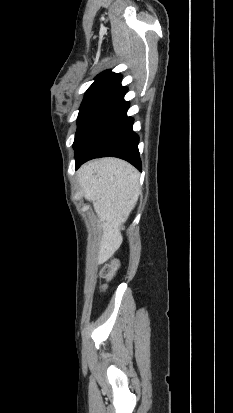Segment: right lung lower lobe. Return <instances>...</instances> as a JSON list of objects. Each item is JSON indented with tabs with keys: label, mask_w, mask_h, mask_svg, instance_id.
Listing matches in <instances>:
<instances>
[{
	"label": "right lung lower lobe",
	"mask_w": 233,
	"mask_h": 413,
	"mask_svg": "<svg viewBox=\"0 0 233 413\" xmlns=\"http://www.w3.org/2000/svg\"><path fill=\"white\" fill-rule=\"evenodd\" d=\"M126 92L119 79L92 113L74 145L76 169L90 159L113 156L141 170L139 137L132 130L133 119L126 114Z\"/></svg>",
	"instance_id": "obj_1"
}]
</instances>
